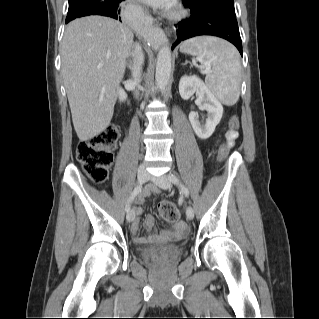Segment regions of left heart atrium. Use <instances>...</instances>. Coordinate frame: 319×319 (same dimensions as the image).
<instances>
[{
	"instance_id": "39dd6f15",
	"label": "left heart atrium",
	"mask_w": 319,
	"mask_h": 319,
	"mask_svg": "<svg viewBox=\"0 0 319 319\" xmlns=\"http://www.w3.org/2000/svg\"><path fill=\"white\" fill-rule=\"evenodd\" d=\"M143 1L152 7L165 9L170 7L174 0H143Z\"/></svg>"
}]
</instances>
